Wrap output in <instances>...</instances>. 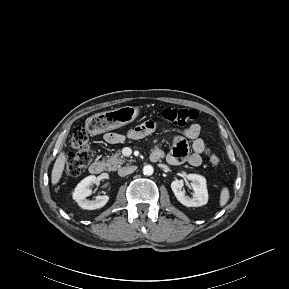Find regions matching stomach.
I'll return each mask as SVG.
<instances>
[{
	"mask_svg": "<svg viewBox=\"0 0 289 289\" xmlns=\"http://www.w3.org/2000/svg\"><path fill=\"white\" fill-rule=\"evenodd\" d=\"M139 108L124 106L89 117L85 129L91 135L101 134L133 122L139 115Z\"/></svg>",
	"mask_w": 289,
	"mask_h": 289,
	"instance_id": "stomach-1",
	"label": "stomach"
}]
</instances>
